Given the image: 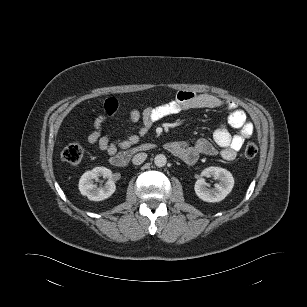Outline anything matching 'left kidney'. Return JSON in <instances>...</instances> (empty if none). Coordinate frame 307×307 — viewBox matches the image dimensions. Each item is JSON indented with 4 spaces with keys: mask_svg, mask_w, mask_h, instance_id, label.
<instances>
[{
    "mask_svg": "<svg viewBox=\"0 0 307 307\" xmlns=\"http://www.w3.org/2000/svg\"><path fill=\"white\" fill-rule=\"evenodd\" d=\"M202 176L217 179L218 183L215 184V188L208 189ZM233 186L234 178L228 170L221 167H208L202 171L201 178L196 181L194 189L196 195L203 201L219 202L232 191Z\"/></svg>",
    "mask_w": 307,
    "mask_h": 307,
    "instance_id": "obj_1",
    "label": "left kidney"
}]
</instances>
